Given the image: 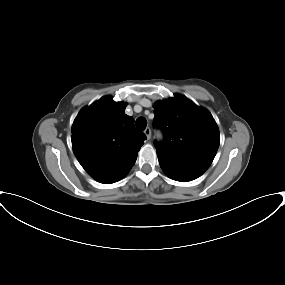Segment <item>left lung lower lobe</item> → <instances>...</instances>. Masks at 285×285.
<instances>
[{"label":"left lung lower lobe","mask_w":285,"mask_h":285,"mask_svg":"<svg viewBox=\"0 0 285 285\" xmlns=\"http://www.w3.org/2000/svg\"><path fill=\"white\" fill-rule=\"evenodd\" d=\"M159 164L164 172L173 180L187 182L191 181L200 175H202L205 171H202L197 168H193L187 165H181L174 163L165 157L158 156Z\"/></svg>","instance_id":"0a47b994"}]
</instances>
